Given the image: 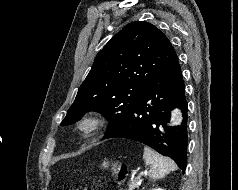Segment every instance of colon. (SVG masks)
<instances>
[{"mask_svg": "<svg viewBox=\"0 0 238 190\" xmlns=\"http://www.w3.org/2000/svg\"><path fill=\"white\" fill-rule=\"evenodd\" d=\"M104 167L110 172V174L118 182L124 181L129 172L127 165L120 162L106 163L104 164ZM85 190H91V189H85Z\"/></svg>", "mask_w": 238, "mask_h": 190, "instance_id": "1", "label": "colon"}]
</instances>
